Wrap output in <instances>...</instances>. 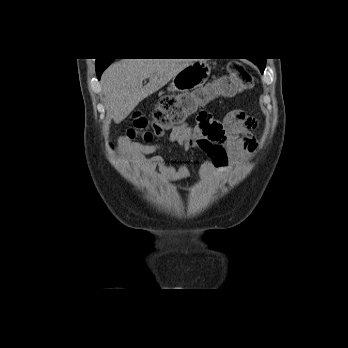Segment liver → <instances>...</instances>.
Listing matches in <instances>:
<instances>
[{
    "instance_id": "obj_1",
    "label": "liver",
    "mask_w": 348,
    "mask_h": 348,
    "mask_svg": "<svg viewBox=\"0 0 348 348\" xmlns=\"http://www.w3.org/2000/svg\"><path fill=\"white\" fill-rule=\"evenodd\" d=\"M192 59H121L102 74L101 86L116 124L122 122L144 98L166 85ZM149 82L143 86V80Z\"/></svg>"
}]
</instances>
